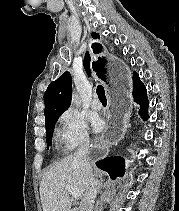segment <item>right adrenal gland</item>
I'll use <instances>...</instances> for the list:
<instances>
[{
  "label": "right adrenal gland",
  "mask_w": 179,
  "mask_h": 211,
  "mask_svg": "<svg viewBox=\"0 0 179 211\" xmlns=\"http://www.w3.org/2000/svg\"><path fill=\"white\" fill-rule=\"evenodd\" d=\"M96 182H97V189H101L102 187H103V182H104V180L103 179H100V180H96Z\"/></svg>",
  "instance_id": "1"
}]
</instances>
